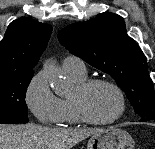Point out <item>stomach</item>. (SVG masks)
<instances>
[{"instance_id":"obj_1","label":"stomach","mask_w":155,"mask_h":149,"mask_svg":"<svg viewBox=\"0 0 155 149\" xmlns=\"http://www.w3.org/2000/svg\"><path fill=\"white\" fill-rule=\"evenodd\" d=\"M87 149H135L132 136L119 127H109L93 134Z\"/></svg>"}]
</instances>
